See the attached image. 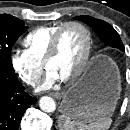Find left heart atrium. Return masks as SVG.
Returning a JSON list of instances; mask_svg holds the SVG:
<instances>
[{"label":"left heart atrium","mask_w":130,"mask_h":130,"mask_svg":"<svg viewBox=\"0 0 130 130\" xmlns=\"http://www.w3.org/2000/svg\"><path fill=\"white\" fill-rule=\"evenodd\" d=\"M61 78L57 73L47 69L46 77L40 86L41 90L52 88Z\"/></svg>","instance_id":"1"}]
</instances>
